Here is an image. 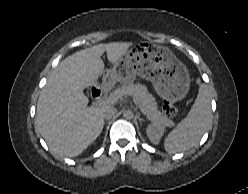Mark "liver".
Instances as JSON below:
<instances>
[{"mask_svg":"<svg viewBox=\"0 0 248 194\" xmlns=\"http://www.w3.org/2000/svg\"><path fill=\"white\" fill-rule=\"evenodd\" d=\"M132 45L98 44L68 56L53 71L38 98L36 124L54 153L76 157L100 135L107 106L87 107L83 90L96 84L102 75L104 52L108 61L116 65Z\"/></svg>","mask_w":248,"mask_h":194,"instance_id":"1","label":"liver"}]
</instances>
